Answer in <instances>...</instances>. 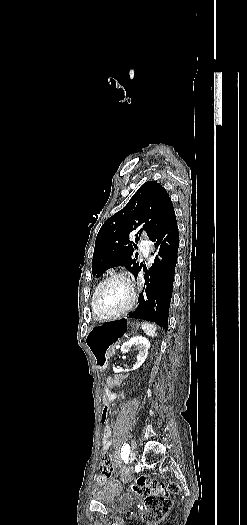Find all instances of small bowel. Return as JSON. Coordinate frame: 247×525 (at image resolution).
I'll return each instance as SVG.
<instances>
[{
  "label": "small bowel",
  "mask_w": 247,
  "mask_h": 525,
  "mask_svg": "<svg viewBox=\"0 0 247 525\" xmlns=\"http://www.w3.org/2000/svg\"><path fill=\"white\" fill-rule=\"evenodd\" d=\"M119 396V393L116 392V391H113V390H106L105 393H104V398L103 399H110L111 402H113L115 399H117ZM101 444H102V448L104 451H109L111 449V446H112V428L111 426L107 423V424H104V428H103V432H102V441H101ZM112 459H113V463L116 465V466H119L121 465V456H120V451L119 449H115L113 454H112ZM96 482L98 485H105L106 484V479L105 477L103 476H98L96 478Z\"/></svg>",
  "instance_id": "c3829d8e"
}]
</instances>
